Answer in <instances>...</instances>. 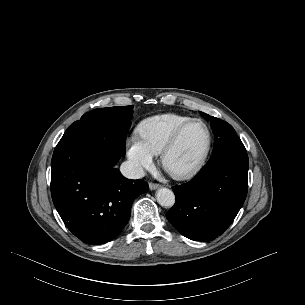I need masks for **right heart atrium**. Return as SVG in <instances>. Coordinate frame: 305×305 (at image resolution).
<instances>
[{
	"instance_id": "right-heart-atrium-1",
	"label": "right heart atrium",
	"mask_w": 305,
	"mask_h": 305,
	"mask_svg": "<svg viewBox=\"0 0 305 305\" xmlns=\"http://www.w3.org/2000/svg\"><path fill=\"white\" fill-rule=\"evenodd\" d=\"M127 156L137 173L153 165V154L135 136L127 141Z\"/></svg>"
}]
</instances>
